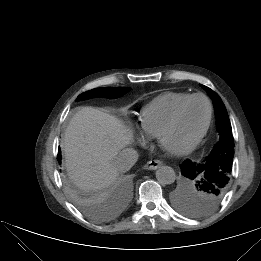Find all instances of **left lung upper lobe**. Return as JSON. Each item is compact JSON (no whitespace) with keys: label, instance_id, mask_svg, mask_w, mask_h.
Wrapping results in <instances>:
<instances>
[{"label":"left lung upper lobe","instance_id":"obj_1","mask_svg":"<svg viewBox=\"0 0 261 261\" xmlns=\"http://www.w3.org/2000/svg\"><path fill=\"white\" fill-rule=\"evenodd\" d=\"M201 86L213 100L219 141L200 165L199 181L193 184L196 177L185 178L183 188L174 197L182 212L195 217L205 216L220 205L229 187L234 155L232 128L224 103L213 90Z\"/></svg>","mask_w":261,"mask_h":261}]
</instances>
